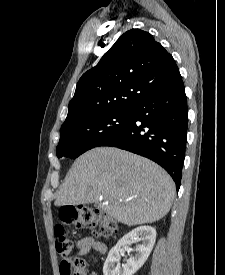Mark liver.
<instances>
[{"label": "liver", "mask_w": 225, "mask_h": 275, "mask_svg": "<svg viewBox=\"0 0 225 275\" xmlns=\"http://www.w3.org/2000/svg\"><path fill=\"white\" fill-rule=\"evenodd\" d=\"M174 196L175 184L158 164L118 148L97 147L76 159L54 204L96 203L118 222L134 226L163 218Z\"/></svg>", "instance_id": "obj_1"}]
</instances>
